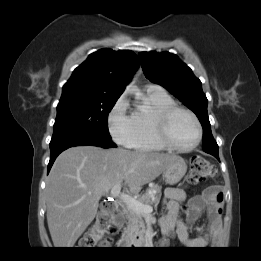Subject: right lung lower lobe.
<instances>
[{"label":"right lung lower lobe","mask_w":261,"mask_h":261,"mask_svg":"<svg viewBox=\"0 0 261 261\" xmlns=\"http://www.w3.org/2000/svg\"><path fill=\"white\" fill-rule=\"evenodd\" d=\"M98 146L102 148H114L116 144L111 141L110 137L94 133H75L66 134L58 137H52L50 142V161L48 164V172L50 171L57 156L64 150L74 146Z\"/></svg>","instance_id":"98d812e1"}]
</instances>
